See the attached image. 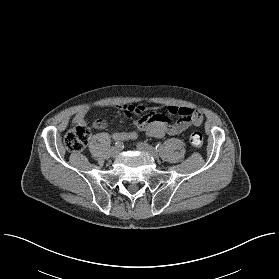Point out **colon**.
Listing matches in <instances>:
<instances>
[{
    "label": "colon",
    "instance_id": "5ec220e1",
    "mask_svg": "<svg viewBox=\"0 0 279 279\" xmlns=\"http://www.w3.org/2000/svg\"><path fill=\"white\" fill-rule=\"evenodd\" d=\"M91 138V130L86 123L74 125L65 135L64 142L67 149L71 152H80L88 144ZM190 144L194 147H201L203 136L196 131L190 135Z\"/></svg>",
    "mask_w": 279,
    "mask_h": 279
}]
</instances>
